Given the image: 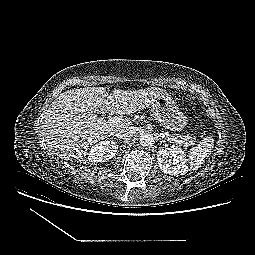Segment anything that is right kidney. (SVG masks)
I'll return each instance as SVG.
<instances>
[{
  "label": "right kidney",
  "mask_w": 255,
  "mask_h": 255,
  "mask_svg": "<svg viewBox=\"0 0 255 255\" xmlns=\"http://www.w3.org/2000/svg\"><path fill=\"white\" fill-rule=\"evenodd\" d=\"M118 150V144L112 140L101 141L91 147L87 159L91 162H107L113 158Z\"/></svg>",
  "instance_id": "ca27d5eb"
}]
</instances>
